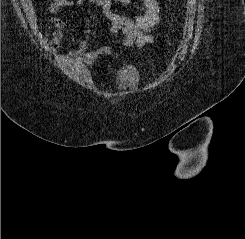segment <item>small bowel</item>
Wrapping results in <instances>:
<instances>
[{
  "label": "small bowel",
  "instance_id": "c3829d8e",
  "mask_svg": "<svg viewBox=\"0 0 245 239\" xmlns=\"http://www.w3.org/2000/svg\"><path fill=\"white\" fill-rule=\"evenodd\" d=\"M112 2H118L127 8H132L131 0H53L48 7L51 15L48 18V23L55 27L53 39L50 42L52 50L56 51L58 48L66 26L57 14L84 3L93 4L101 9L104 17L110 23V34L122 33L125 47H143L150 43L152 41L150 32L161 20L159 2L157 0H144L145 12L134 11L132 16L115 13L111 8ZM89 32L88 30V35ZM88 42L89 36H86L71 57L86 66H93L100 56L109 52V47L104 46L96 51H88Z\"/></svg>",
  "mask_w": 245,
  "mask_h": 239
}]
</instances>
